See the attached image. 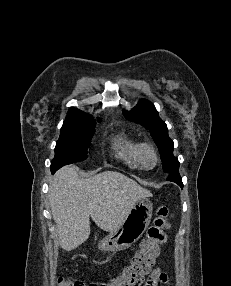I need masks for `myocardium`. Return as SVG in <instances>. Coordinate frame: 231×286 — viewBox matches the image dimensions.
<instances>
[{
  "instance_id": "obj_1",
  "label": "myocardium",
  "mask_w": 231,
  "mask_h": 286,
  "mask_svg": "<svg viewBox=\"0 0 231 286\" xmlns=\"http://www.w3.org/2000/svg\"><path fill=\"white\" fill-rule=\"evenodd\" d=\"M149 156H151L154 160L151 166L147 164V159ZM139 161L141 167L146 170H151L155 168L159 163V154L156 148L152 144L142 143L139 151Z\"/></svg>"
}]
</instances>
